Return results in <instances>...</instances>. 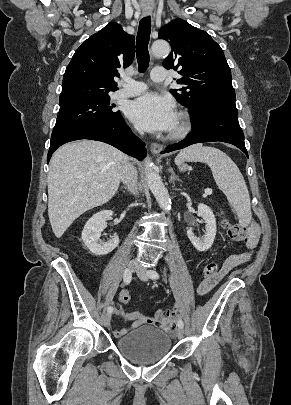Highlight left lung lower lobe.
Instances as JSON below:
<instances>
[{"instance_id": "0a47b994", "label": "left lung lower lobe", "mask_w": 291, "mask_h": 405, "mask_svg": "<svg viewBox=\"0 0 291 405\" xmlns=\"http://www.w3.org/2000/svg\"><path fill=\"white\" fill-rule=\"evenodd\" d=\"M195 129L186 139L167 147L162 153L179 150L195 143L221 141L235 145L248 157L244 134L238 122L235 102L209 104L200 121L192 123Z\"/></svg>"}]
</instances>
